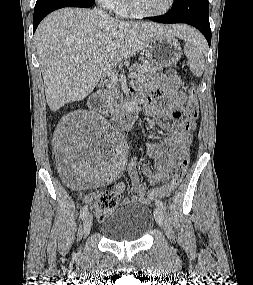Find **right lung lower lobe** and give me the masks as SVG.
Wrapping results in <instances>:
<instances>
[{
	"label": "right lung lower lobe",
	"instance_id": "98d812e1",
	"mask_svg": "<svg viewBox=\"0 0 253 285\" xmlns=\"http://www.w3.org/2000/svg\"><path fill=\"white\" fill-rule=\"evenodd\" d=\"M94 3V0H37L33 17V33L37 29L40 21L54 10L63 7L88 8L91 7Z\"/></svg>",
	"mask_w": 253,
	"mask_h": 285
}]
</instances>
